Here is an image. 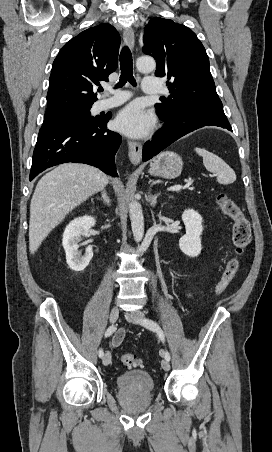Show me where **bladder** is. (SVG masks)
<instances>
[{
	"label": "bladder",
	"instance_id": "obj_1",
	"mask_svg": "<svg viewBox=\"0 0 272 452\" xmlns=\"http://www.w3.org/2000/svg\"><path fill=\"white\" fill-rule=\"evenodd\" d=\"M117 387L123 390H135L150 393L154 390L155 381L152 375L144 370H129L118 376Z\"/></svg>",
	"mask_w": 272,
	"mask_h": 452
}]
</instances>
